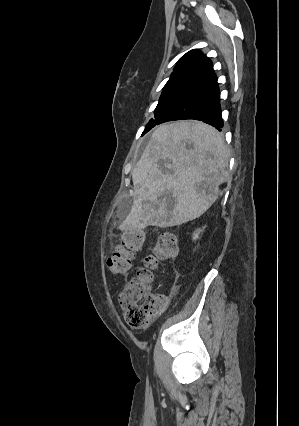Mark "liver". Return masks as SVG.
<instances>
[{
	"mask_svg": "<svg viewBox=\"0 0 299 426\" xmlns=\"http://www.w3.org/2000/svg\"><path fill=\"white\" fill-rule=\"evenodd\" d=\"M228 163L227 146L212 126L200 121L158 126L132 171L133 204L119 228H166L200 217L217 200Z\"/></svg>",
	"mask_w": 299,
	"mask_h": 426,
	"instance_id": "6515ba94",
	"label": "liver"
}]
</instances>
